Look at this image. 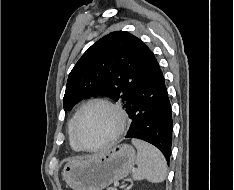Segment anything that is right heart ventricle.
Returning <instances> with one entry per match:
<instances>
[{"label":"right heart ventricle","instance_id":"right-heart-ventricle-1","mask_svg":"<svg viewBox=\"0 0 234 190\" xmlns=\"http://www.w3.org/2000/svg\"><path fill=\"white\" fill-rule=\"evenodd\" d=\"M75 116H76V114L72 117V119L70 120V122L68 124V131H69V136H70V144H71L72 148L75 149V150H79V148L73 142L72 137H71V131H72L73 122L75 120Z\"/></svg>","mask_w":234,"mask_h":190}]
</instances>
